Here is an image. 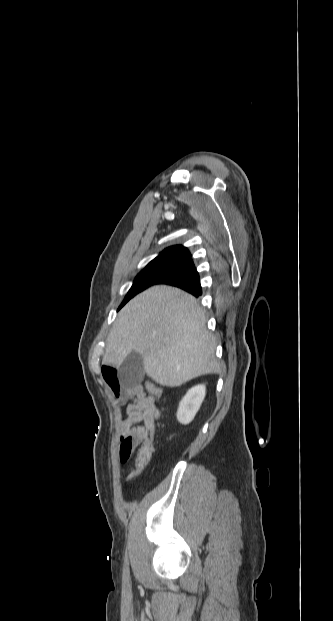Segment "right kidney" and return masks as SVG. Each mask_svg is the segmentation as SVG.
I'll list each match as a JSON object with an SVG mask.
<instances>
[{
    "label": "right kidney",
    "mask_w": 333,
    "mask_h": 621,
    "mask_svg": "<svg viewBox=\"0 0 333 621\" xmlns=\"http://www.w3.org/2000/svg\"><path fill=\"white\" fill-rule=\"evenodd\" d=\"M205 393V385L201 384L188 390L186 395L180 401L177 410V420L181 424H189L194 419L205 398Z\"/></svg>",
    "instance_id": "obj_1"
}]
</instances>
